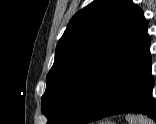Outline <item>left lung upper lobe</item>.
<instances>
[{
	"label": "left lung upper lobe",
	"mask_w": 156,
	"mask_h": 124,
	"mask_svg": "<svg viewBox=\"0 0 156 124\" xmlns=\"http://www.w3.org/2000/svg\"><path fill=\"white\" fill-rule=\"evenodd\" d=\"M147 28L131 0H95L78 11L46 77L41 108L47 124H78L105 78Z\"/></svg>",
	"instance_id": "1"
}]
</instances>
